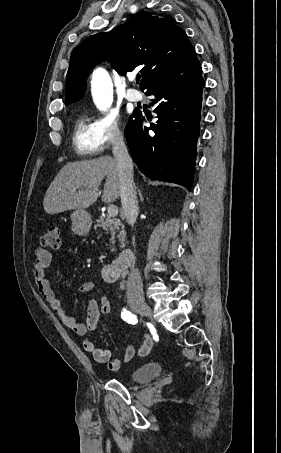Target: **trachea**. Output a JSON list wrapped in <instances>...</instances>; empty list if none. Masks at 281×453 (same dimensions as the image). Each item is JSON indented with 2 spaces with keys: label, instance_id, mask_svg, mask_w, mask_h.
<instances>
[{
  "label": "trachea",
  "instance_id": "3493384b",
  "mask_svg": "<svg viewBox=\"0 0 281 453\" xmlns=\"http://www.w3.org/2000/svg\"><path fill=\"white\" fill-rule=\"evenodd\" d=\"M139 81H140V76H137L136 83H139Z\"/></svg>",
  "mask_w": 281,
  "mask_h": 453
}]
</instances>
